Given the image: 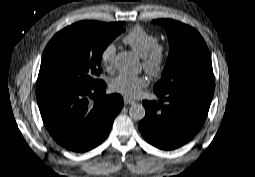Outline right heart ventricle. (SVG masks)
I'll list each match as a JSON object with an SVG mask.
<instances>
[{"instance_id": "obj_1", "label": "right heart ventricle", "mask_w": 255, "mask_h": 177, "mask_svg": "<svg viewBox=\"0 0 255 177\" xmlns=\"http://www.w3.org/2000/svg\"><path fill=\"white\" fill-rule=\"evenodd\" d=\"M123 41L133 50L134 53L143 58L158 42V37L142 26H135L124 37Z\"/></svg>"}]
</instances>
